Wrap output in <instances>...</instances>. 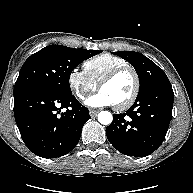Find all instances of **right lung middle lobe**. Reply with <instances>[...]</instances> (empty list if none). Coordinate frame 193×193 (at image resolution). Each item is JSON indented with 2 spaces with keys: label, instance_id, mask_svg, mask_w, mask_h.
Returning a JSON list of instances; mask_svg holds the SVG:
<instances>
[{
  "label": "right lung middle lobe",
  "instance_id": "obj_1",
  "mask_svg": "<svg viewBox=\"0 0 193 193\" xmlns=\"http://www.w3.org/2000/svg\"><path fill=\"white\" fill-rule=\"evenodd\" d=\"M99 53L101 51L62 45L47 46L25 61L15 83L14 95L35 87H48L70 94L69 78L72 70L85 59Z\"/></svg>",
  "mask_w": 193,
  "mask_h": 193
}]
</instances>
